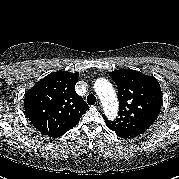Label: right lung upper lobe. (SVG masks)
Returning <instances> with one entry per match:
<instances>
[{"label": "right lung upper lobe", "mask_w": 179, "mask_h": 179, "mask_svg": "<svg viewBox=\"0 0 179 179\" xmlns=\"http://www.w3.org/2000/svg\"><path fill=\"white\" fill-rule=\"evenodd\" d=\"M78 77L77 72H53L26 93L25 112L38 131L50 137H59L78 124L89 109L75 92Z\"/></svg>", "instance_id": "obj_1"}]
</instances>
